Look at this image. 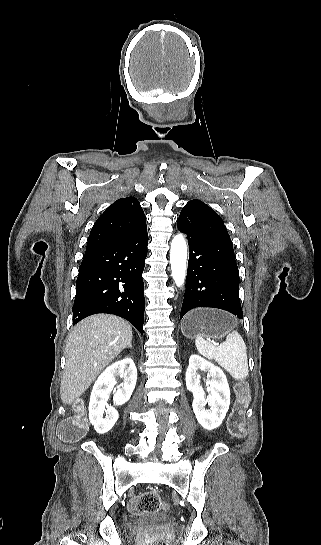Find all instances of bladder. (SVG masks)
Instances as JSON below:
<instances>
[{
    "instance_id": "1",
    "label": "bladder",
    "mask_w": 321,
    "mask_h": 545,
    "mask_svg": "<svg viewBox=\"0 0 321 545\" xmlns=\"http://www.w3.org/2000/svg\"><path fill=\"white\" fill-rule=\"evenodd\" d=\"M168 523V519L165 516L154 513H145L136 520L134 528L138 531L152 530L166 526Z\"/></svg>"
}]
</instances>
